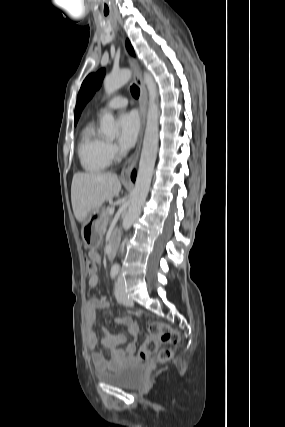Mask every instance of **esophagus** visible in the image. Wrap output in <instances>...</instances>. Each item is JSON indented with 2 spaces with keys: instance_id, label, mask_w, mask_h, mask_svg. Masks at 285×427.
<instances>
[{
  "instance_id": "34e87169",
  "label": "esophagus",
  "mask_w": 285,
  "mask_h": 427,
  "mask_svg": "<svg viewBox=\"0 0 285 427\" xmlns=\"http://www.w3.org/2000/svg\"><path fill=\"white\" fill-rule=\"evenodd\" d=\"M126 55L128 57V63L133 70L134 82L140 89L141 101H140V130L138 135V141H137L135 151L127 159V161L125 162L122 168L121 179L123 180L129 179L130 172L133 170L134 166L136 165L140 155L142 141H143V134H144L145 124H146V106H147V91L145 88V84L142 80L139 64L134 58L129 56L127 53Z\"/></svg>"
}]
</instances>
